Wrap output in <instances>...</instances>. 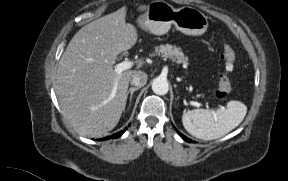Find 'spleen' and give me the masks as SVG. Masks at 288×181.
I'll return each mask as SVG.
<instances>
[{"mask_svg":"<svg viewBox=\"0 0 288 181\" xmlns=\"http://www.w3.org/2000/svg\"><path fill=\"white\" fill-rule=\"evenodd\" d=\"M246 113L245 104L232 100L223 109H194L184 112L182 123L192 136L203 140H213L236 128L243 121Z\"/></svg>","mask_w":288,"mask_h":181,"instance_id":"spleen-1","label":"spleen"}]
</instances>
